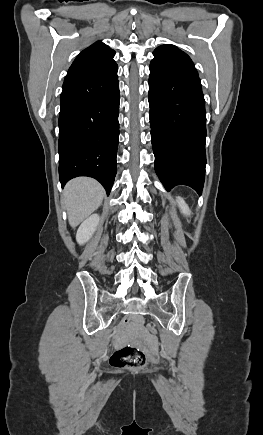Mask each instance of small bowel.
Segmentation results:
<instances>
[{
  "label": "small bowel",
  "mask_w": 263,
  "mask_h": 435,
  "mask_svg": "<svg viewBox=\"0 0 263 435\" xmlns=\"http://www.w3.org/2000/svg\"><path fill=\"white\" fill-rule=\"evenodd\" d=\"M135 322H136V324L138 326H143L144 325V320L141 317L136 318ZM144 339L146 341H148L145 344V347L148 349V354H149L150 361H159L160 354H159V352H157V349H156L157 348V343L155 341H151L153 339V334L151 332H146L144 334ZM126 341H127V335L124 332H120L118 334V337H117V343L119 345H122V344L126 343ZM133 342L136 345H139L142 342V339L139 336H136L133 339Z\"/></svg>",
  "instance_id": "obj_1"
}]
</instances>
